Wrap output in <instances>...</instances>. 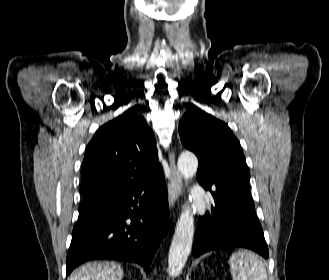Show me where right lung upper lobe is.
Listing matches in <instances>:
<instances>
[{
	"label": "right lung upper lobe",
	"mask_w": 329,
	"mask_h": 280,
	"mask_svg": "<svg viewBox=\"0 0 329 280\" xmlns=\"http://www.w3.org/2000/svg\"><path fill=\"white\" fill-rule=\"evenodd\" d=\"M156 140L145 119L128 110L101 126L88 144L82 165V194L162 174Z\"/></svg>",
	"instance_id": "1"
}]
</instances>
